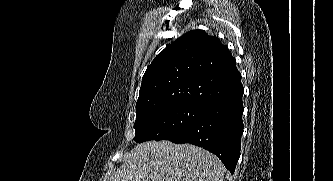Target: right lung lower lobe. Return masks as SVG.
<instances>
[{
	"mask_svg": "<svg viewBox=\"0 0 333 181\" xmlns=\"http://www.w3.org/2000/svg\"><path fill=\"white\" fill-rule=\"evenodd\" d=\"M243 91L207 105L200 116L182 133L169 139L173 143H190L217 155L234 173L240 157L243 133Z\"/></svg>",
	"mask_w": 333,
	"mask_h": 181,
	"instance_id": "right-lung-lower-lobe-1",
	"label": "right lung lower lobe"
}]
</instances>
